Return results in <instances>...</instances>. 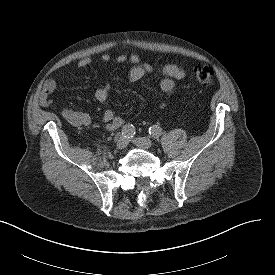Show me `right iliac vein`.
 I'll return each mask as SVG.
<instances>
[{
  "label": "right iliac vein",
  "instance_id": "obj_1",
  "mask_svg": "<svg viewBox=\"0 0 275 275\" xmlns=\"http://www.w3.org/2000/svg\"><path fill=\"white\" fill-rule=\"evenodd\" d=\"M128 143H129V141H128L127 137L122 135L116 142V148L119 150L125 149L127 147Z\"/></svg>",
  "mask_w": 275,
  "mask_h": 275
}]
</instances>
